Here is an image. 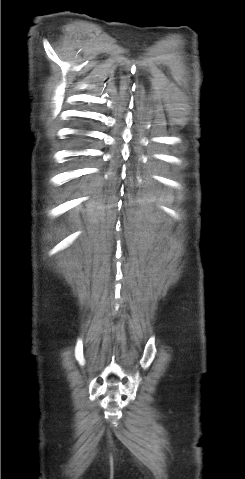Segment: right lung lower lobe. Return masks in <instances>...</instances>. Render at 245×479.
I'll return each mask as SVG.
<instances>
[{"label":"right lung lower lobe","mask_w":245,"mask_h":479,"mask_svg":"<svg viewBox=\"0 0 245 479\" xmlns=\"http://www.w3.org/2000/svg\"><path fill=\"white\" fill-rule=\"evenodd\" d=\"M80 142H81V140H80V139L76 141V143H80Z\"/></svg>","instance_id":"98d812e1"}]
</instances>
